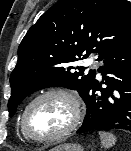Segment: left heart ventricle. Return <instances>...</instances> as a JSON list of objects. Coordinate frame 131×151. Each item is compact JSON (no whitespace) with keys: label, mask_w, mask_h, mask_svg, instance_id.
<instances>
[{"label":"left heart ventricle","mask_w":131,"mask_h":151,"mask_svg":"<svg viewBox=\"0 0 131 151\" xmlns=\"http://www.w3.org/2000/svg\"><path fill=\"white\" fill-rule=\"evenodd\" d=\"M69 104L60 97L51 96L38 101L29 110L26 124L36 137H48L63 130L69 123Z\"/></svg>","instance_id":"1"}]
</instances>
